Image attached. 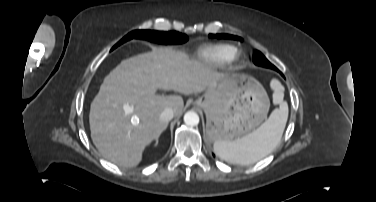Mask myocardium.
I'll use <instances>...</instances> for the list:
<instances>
[{
	"label": "myocardium",
	"instance_id": "myocardium-1",
	"mask_svg": "<svg viewBox=\"0 0 376 202\" xmlns=\"http://www.w3.org/2000/svg\"><path fill=\"white\" fill-rule=\"evenodd\" d=\"M237 58H238L237 55H235L234 58H233V60H236Z\"/></svg>",
	"mask_w": 376,
	"mask_h": 202
}]
</instances>
